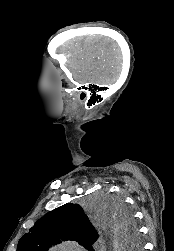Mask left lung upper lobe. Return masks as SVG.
Masks as SVG:
<instances>
[{
	"label": "left lung upper lobe",
	"mask_w": 174,
	"mask_h": 251,
	"mask_svg": "<svg viewBox=\"0 0 174 251\" xmlns=\"http://www.w3.org/2000/svg\"><path fill=\"white\" fill-rule=\"evenodd\" d=\"M108 216L115 220L120 238L126 239L134 249L140 248L137 226L131 212L121 200H105ZM19 240L17 251H47L56 242L74 240L89 251L98 238L94 226L78 204L67 203L40 218Z\"/></svg>",
	"instance_id": "5c2ea615"
}]
</instances>
